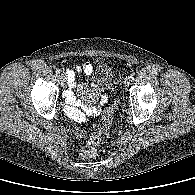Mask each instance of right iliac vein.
I'll use <instances>...</instances> for the list:
<instances>
[{
    "label": "right iliac vein",
    "instance_id": "obj_1",
    "mask_svg": "<svg viewBox=\"0 0 195 195\" xmlns=\"http://www.w3.org/2000/svg\"><path fill=\"white\" fill-rule=\"evenodd\" d=\"M59 80L61 84H64L66 82V76L64 74L59 75Z\"/></svg>",
    "mask_w": 195,
    "mask_h": 195
}]
</instances>
